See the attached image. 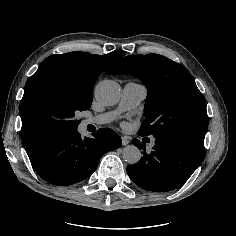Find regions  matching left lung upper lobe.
<instances>
[{
  "label": "left lung upper lobe",
  "mask_w": 236,
  "mask_h": 236,
  "mask_svg": "<svg viewBox=\"0 0 236 236\" xmlns=\"http://www.w3.org/2000/svg\"><path fill=\"white\" fill-rule=\"evenodd\" d=\"M120 73L139 78L147 88L140 136L166 133L204 144L206 101L185 67L158 54L132 55L106 70L109 75Z\"/></svg>",
  "instance_id": "1"
}]
</instances>
